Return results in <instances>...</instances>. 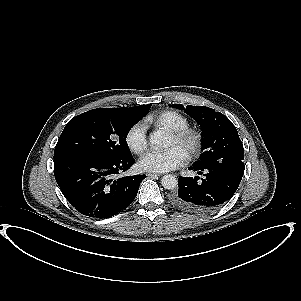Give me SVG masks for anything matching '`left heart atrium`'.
I'll use <instances>...</instances> for the list:
<instances>
[{"label": "left heart atrium", "instance_id": "39dd6f15", "mask_svg": "<svg viewBox=\"0 0 301 301\" xmlns=\"http://www.w3.org/2000/svg\"><path fill=\"white\" fill-rule=\"evenodd\" d=\"M182 154L174 150L153 151L146 154L142 162L148 171L165 172L176 168L182 162Z\"/></svg>", "mask_w": 301, "mask_h": 301}]
</instances>
